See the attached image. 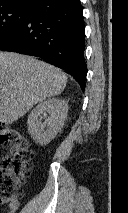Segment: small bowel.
I'll return each instance as SVG.
<instances>
[{"instance_id": "1", "label": "small bowel", "mask_w": 128, "mask_h": 213, "mask_svg": "<svg viewBox=\"0 0 128 213\" xmlns=\"http://www.w3.org/2000/svg\"><path fill=\"white\" fill-rule=\"evenodd\" d=\"M19 208V202L17 200H12L8 202L7 208L2 213H16Z\"/></svg>"}]
</instances>
